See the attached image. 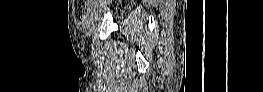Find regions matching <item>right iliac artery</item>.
I'll use <instances>...</instances> for the list:
<instances>
[{"label":"right iliac artery","mask_w":263,"mask_h":92,"mask_svg":"<svg viewBox=\"0 0 263 92\" xmlns=\"http://www.w3.org/2000/svg\"><path fill=\"white\" fill-rule=\"evenodd\" d=\"M93 2H94V0H88L87 1L88 6L86 7L85 12L83 13V19L84 20L88 19V15L90 14V10L93 7Z\"/></svg>","instance_id":"1"}]
</instances>
